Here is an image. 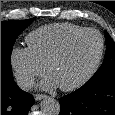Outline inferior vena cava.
Listing matches in <instances>:
<instances>
[{
	"label": "inferior vena cava",
	"mask_w": 115,
	"mask_h": 115,
	"mask_svg": "<svg viewBox=\"0 0 115 115\" xmlns=\"http://www.w3.org/2000/svg\"><path fill=\"white\" fill-rule=\"evenodd\" d=\"M16 83L22 90H30L34 86V79L32 76L26 74H19L16 77Z\"/></svg>",
	"instance_id": "1"
}]
</instances>
